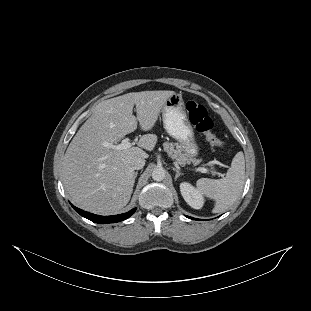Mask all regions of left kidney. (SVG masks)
<instances>
[{
	"instance_id": "5707ae66",
	"label": "left kidney",
	"mask_w": 311,
	"mask_h": 311,
	"mask_svg": "<svg viewBox=\"0 0 311 311\" xmlns=\"http://www.w3.org/2000/svg\"><path fill=\"white\" fill-rule=\"evenodd\" d=\"M180 189L181 194L188 205L195 209H198L202 206V196L191 185L182 183L180 185Z\"/></svg>"
}]
</instances>
